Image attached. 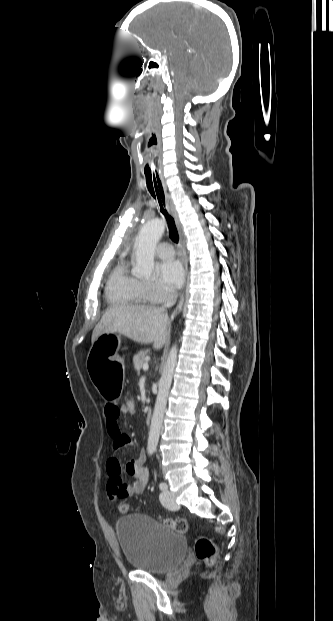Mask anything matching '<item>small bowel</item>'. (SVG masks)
<instances>
[{
  "label": "small bowel",
  "instance_id": "1",
  "mask_svg": "<svg viewBox=\"0 0 333 621\" xmlns=\"http://www.w3.org/2000/svg\"><path fill=\"white\" fill-rule=\"evenodd\" d=\"M123 413L119 405L108 403L104 407V417L106 430L112 439L113 448L121 449L133 446L130 437L125 434L119 425V418ZM145 456L140 452L138 457L128 459L125 464H121L117 457H110L107 461V472L109 480L107 482V495L115 501L141 494L147 486L149 472L144 467ZM127 474L133 478L132 482H125L122 475Z\"/></svg>",
  "mask_w": 333,
  "mask_h": 621
}]
</instances>
